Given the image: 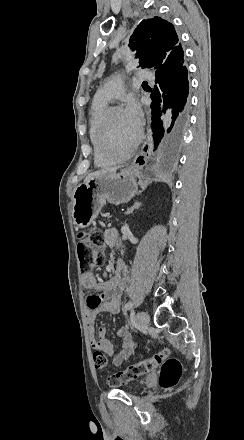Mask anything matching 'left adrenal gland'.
<instances>
[{
    "instance_id": "a2214340",
    "label": "left adrenal gland",
    "mask_w": 244,
    "mask_h": 440,
    "mask_svg": "<svg viewBox=\"0 0 244 440\" xmlns=\"http://www.w3.org/2000/svg\"><path fill=\"white\" fill-rule=\"evenodd\" d=\"M139 206H141V202H135L134 206L130 208L128 214H132L133 210H138Z\"/></svg>"
}]
</instances>
